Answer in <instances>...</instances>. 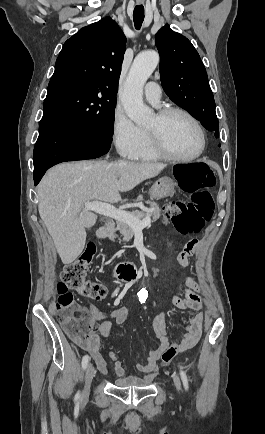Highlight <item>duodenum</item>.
<instances>
[{"mask_svg":"<svg viewBox=\"0 0 265 434\" xmlns=\"http://www.w3.org/2000/svg\"><path fill=\"white\" fill-rule=\"evenodd\" d=\"M114 225L111 223L101 225L96 231L98 238H102L114 232ZM112 272L120 280L129 283H136L139 280L137 267L128 262H118L112 266Z\"/></svg>","mask_w":265,"mask_h":434,"instance_id":"duodenum-1","label":"duodenum"}]
</instances>
